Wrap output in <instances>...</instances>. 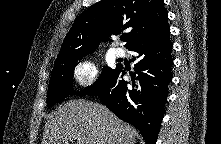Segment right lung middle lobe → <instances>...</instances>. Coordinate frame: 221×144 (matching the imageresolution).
<instances>
[{"label":"right lung middle lobe","instance_id":"dd1d6c3e","mask_svg":"<svg viewBox=\"0 0 221 144\" xmlns=\"http://www.w3.org/2000/svg\"><path fill=\"white\" fill-rule=\"evenodd\" d=\"M77 61L78 60L67 62L53 68L47 93V105L49 107L65 99L69 95L76 94L79 96H84L88 94L92 90L99 87L102 83H104L115 71V69L103 67L100 78L97 79L93 85L88 86L80 93H76L73 91L72 78Z\"/></svg>","mask_w":221,"mask_h":144}]
</instances>
